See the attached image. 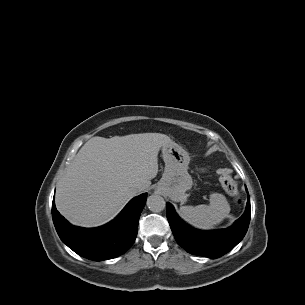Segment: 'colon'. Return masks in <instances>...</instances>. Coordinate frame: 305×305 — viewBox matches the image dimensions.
I'll return each instance as SVG.
<instances>
[{
    "label": "colon",
    "instance_id": "1",
    "mask_svg": "<svg viewBox=\"0 0 305 305\" xmlns=\"http://www.w3.org/2000/svg\"><path fill=\"white\" fill-rule=\"evenodd\" d=\"M219 182L223 190L235 200H238L239 192L237 185L228 172H222L219 176Z\"/></svg>",
    "mask_w": 305,
    "mask_h": 305
}]
</instances>
